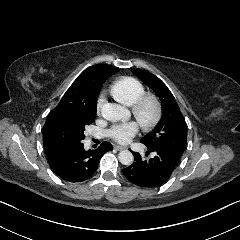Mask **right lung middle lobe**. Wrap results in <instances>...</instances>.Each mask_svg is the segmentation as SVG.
Wrapping results in <instances>:
<instances>
[{
  "mask_svg": "<svg viewBox=\"0 0 240 240\" xmlns=\"http://www.w3.org/2000/svg\"><path fill=\"white\" fill-rule=\"evenodd\" d=\"M96 109L65 110L55 113L48 122L47 144L54 146H78L85 138V126L95 120Z\"/></svg>",
  "mask_w": 240,
  "mask_h": 240,
  "instance_id": "obj_1",
  "label": "right lung middle lobe"
}]
</instances>
